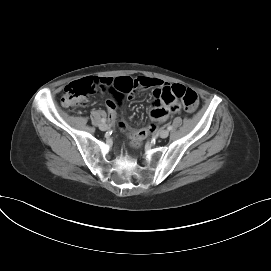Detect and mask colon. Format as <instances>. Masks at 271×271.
Returning <instances> with one entry per match:
<instances>
[{
	"label": "colon",
	"instance_id": "1",
	"mask_svg": "<svg viewBox=\"0 0 271 271\" xmlns=\"http://www.w3.org/2000/svg\"><path fill=\"white\" fill-rule=\"evenodd\" d=\"M97 81V79L85 78L67 85L61 99L62 105L65 107L85 106L89 95L97 92ZM134 90L135 89H133V91ZM161 97L167 104L180 100L188 112H193L199 102L198 94L193 89L186 88L179 84H174L163 89ZM149 131H151V129L141 130L139 132V140L144 139Z\"/></svg>",
	"mask_w": 271,
	"mask_h": 271
}]
</instances>
